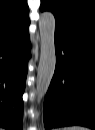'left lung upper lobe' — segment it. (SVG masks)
I'll return each mask as SVG.
<instances>
[{
    "label": "left lung upper lobe",
    "mask_w": 95,
    "mask_h": 130,
    "mask_svg": "<svg viewBox=\"0 0 95 130\" xmlns=\"http://www.w3.org/2000/svg\"><path fill=\"white\" fill-rule=\"evenodd\" d=\"M55 16V31L68 30L95 40V0H41Z\"/></svg>",
    "instance_id": "5c2ea615"
}]
</instances>
